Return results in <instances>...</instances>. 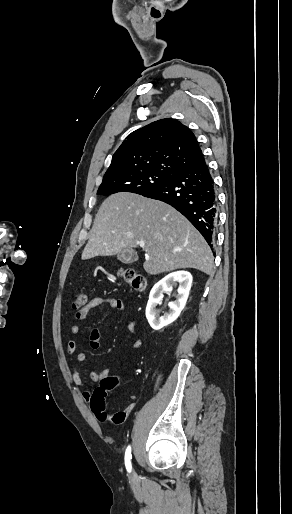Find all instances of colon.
Wrapping results in <instances>:
<instances>
[{
	"label": "colon",
	"instance_id": "obj_1",
	"mask_svg": "<svg viewBox=\"0 0 292 514\" xmlns=\"http://www.w3.org/2000/svg\"><path fill=\"white\" fill-rule=\"evenodd\" d=\"M119 275L125 281L133 291L139 292L145 290L146 277L142 273L134 270L122 268L119 270ZM89 306V299L85 291H78L75 296L73 303V309L75 312L84 311ZM116 385V379L113 376H107L101 381V386L95 390L91 395V405L93 418L95 420H103L109 417V414L105 412L106 409V398L107 393L111 391ZM131 407L117 412L113 416L115 423L122 421L130 412Z\"/></svg>",
	"mask_w": 292,
	"mask_h": 514
}]
</instances>
